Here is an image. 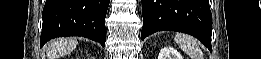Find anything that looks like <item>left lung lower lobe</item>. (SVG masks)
Returning a JSON list of instances; mask_svg holds the SVG:
<instances>
[{
    "label": "left lung lower lobe",
    "instance_id": "left-lung-lower-lobe-1",
    "mask_svg": "<svg viewBox=\"0 0 261 59\" xmlns=\"http://www.w3.org/2000/svg\"><path fill=\"white\" fill-rule=\"evenodd\" d=\"M142 15V40L157 31H178L198 38L212 51L208 0H143Z\"/></svg>",
    "mask_w": 261,
    "mask_h": 59
}]
</instances>
